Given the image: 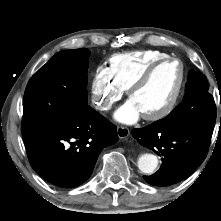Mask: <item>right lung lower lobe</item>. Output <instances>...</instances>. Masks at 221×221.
<instances>
[{
	"label": "right lung lower lobe",
	"instance_id": "right-lung-lower-lobe-1",
	"mask_svg": "<svg viewBox=\"0 0 221 221\" xmlns=\"http://www.w3.org/2000/svg\"><path fill=\"white\" fill-rule=\"evenodd\" d=\"M32 168L46 181L73 188L91 175L101 150L118 141L117 129L87 105L66 124L23 134Z\"/></svg>",
	"mask_w": 221,
	"mask_h": 221
}]
</instances>
